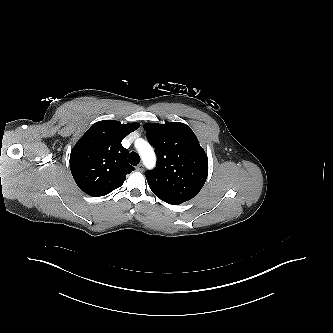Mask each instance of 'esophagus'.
Returning a JSON list of instances; mask_svg holds the SVG:
<instances>
[{"mask_svg": "<svg viewBox=\"0 0 333 333\" xmlns=\"http://www.w3.org/2000/svg\"><path fill=\"white\" fill-rule=\"evenodd\" d=\"M143 169H144L143 164H139L138 166H136L137 171H143Z\"/></svg>", "mask_w": 333, "mask_h": 333, "instance_id": "1", "label": "esophagus"}]
</instances>
